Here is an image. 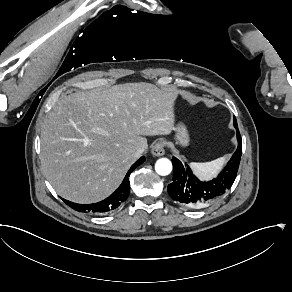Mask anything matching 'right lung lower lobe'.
<instances>
[{
    "label": "right lung lower lobe",
    "mask_w": 292,
    "mask_h": 292,
    "mask_svg": "<svg viewBox=\"0 0 292 292\" xmlns=\"http://www.w3.org/2000/svg\"><path fill=\"white\" fill-rule=\"evenodd\" d=\"M145 161V157H141L138 161H136L126 174L123 182L118 187V189L111 194L108 198L94 204H77L65 199H62L68 206L73 208L76 211L89 213V214H97V213H105L111 210L116 209L120 206L129 196L130 192V183L128 177L136 168L137 165L142 164Z\"/></svg>",
    "instance_id": "obj_1"
}]
</instances>
